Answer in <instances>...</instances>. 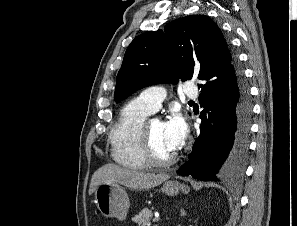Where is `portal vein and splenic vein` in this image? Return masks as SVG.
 I'll return each instance as SVG.
<instances>
[{
  "label": "portal vein and splenic vein",
  "instance_id": "18ae733b",
  "mask_svg": "<svg viewBox=\"0 0 297 226\" xmlns=\"http://www.w3.org/2000/svg\"><path fill=\"white\" fill-rule=\"evenodd\" d=\"M159 219H160V216H159V214H157V215H155V218L153 219V221L157 222V221H159Z\"/></svg>",
  "mask_w": 297,
  "mask_h": 226
}]
</instances>
